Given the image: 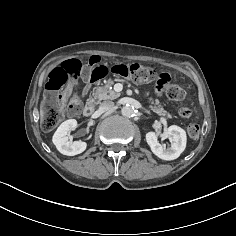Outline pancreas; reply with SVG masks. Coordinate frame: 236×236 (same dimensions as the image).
<instances>
[{
    "instance_id": "1",
    "label": "pancreas",
    "mask_w": 236,
    "mask_h": 236,
    "mask_svg": "<svg viewBox=\"0 0 236 236\" xmlns=\"http://www.w3.org/2000/svg\"><path fill=\"white\" fill-rule=\"evenodd\" d=\"M114 84L113 81H108L104 86L98 87L92 94L93 96V101L96 104L101 103L102 100H108V99H116L120 96V93L115 92L112 89V85ZM146 96L149 95L148 92L145 94ZM149 99V108L155 112L159 116H163L165 118H172V115L164 110V108L159 104L158 100H154L153 98H148Z\"/></svg>"
}]
</instances>
